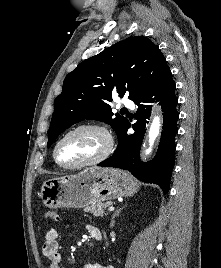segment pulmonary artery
<instances>
[{
	"instance_id": "pulmonary-artery-1",
	"label": "pulmonary artery",
	"mask_w": 221,
	"mask_h": 268,
	"mask_svg": "<svg viewBox=\"0 0 221 268\" xmlns=\"http://www.w3.org/2000/svg\"><path fill=\"white\" fill-rule=\"evenodd\" d=\"M122 104H123L125 107L130 108V109H133V108L135 107L134 103H133L131 100H129V99H124V100L122 101Z\"/></svg>"
}]
</instances>
